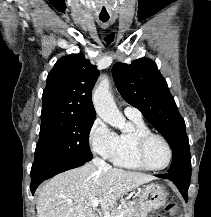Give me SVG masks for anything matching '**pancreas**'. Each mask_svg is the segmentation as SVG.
<instances>
[{
  "label": "pancreas",
  "instance_id": "obj_1",
  "mask_svg": "<svg viewBox=\"0 0 211 217\" xmlns=\"http://www.w3.org/2000/svg\"><path fill=\"white\" fill-rule=\"evenodd\" d=\"M122 211H124L123 217H138L139 209H138V201L134 200L133 202H128L123 208L114 211L113 213L118 215Z\"/></svg>",
  "mask_w": 211,
  "mask_h": 217
}]
</instances>
